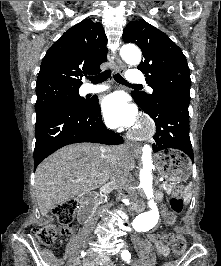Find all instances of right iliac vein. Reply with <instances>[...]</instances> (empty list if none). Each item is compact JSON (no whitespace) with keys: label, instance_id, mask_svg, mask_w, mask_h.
Listing matches in <instances>:
<instances>
[{"label":"right iliac vein","instance_id":"obj_1","mask_svg":"<svg viewBox=\"0 0 221 266\" xmlns=\"http://www.w3.org/2000/svg\"><path fill=\"white\" fill-rule=\"evenodd\" d=\"M85 246H86V242H84L80 246V248L74 253V255L71 257V259L69 261V265L68 266H77L78 265V262H79V254L85 248Z\"/></svg>","mask_w":221,"mask_h":266}]
</instances>
